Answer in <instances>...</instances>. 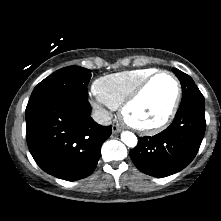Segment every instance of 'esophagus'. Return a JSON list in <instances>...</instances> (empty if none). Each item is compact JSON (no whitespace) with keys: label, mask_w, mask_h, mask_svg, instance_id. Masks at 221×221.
Returning <instances> with one entry per match:
<instances>
[{"label":"esophagus","mask_w":221,"mask_h":221,"mask_svg":"<svg viewBox=\"0 0 221 221\" xmlns=\"http://www.w3.org/2000/svg\"><path fill=\"white\" fill-rule=\"evenodd\" d=\"M112 131L113 133H119L121 132V128L118 125H113Z\"/></svg>","instance_id":"esophagus-1"}]
</instances>
